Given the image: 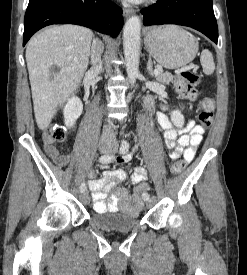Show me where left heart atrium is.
<instances>
[{
	"mask_svg": "<svg viewBox=\"0 0 247 275\" xmlns=\"http://www.w3.org/2000/svg\"><path fill=\"white\" fill-rule=\"evenodd\" d=\"M127 1H129V2H140L142 0H127Z\"/></svg>",
	"mask_w": 247,
	"mask_h": 275,
	"instance_id": "39dd6f15",
	"label": "left heart atrium"
}]
</instances>
